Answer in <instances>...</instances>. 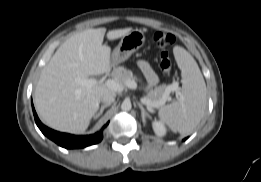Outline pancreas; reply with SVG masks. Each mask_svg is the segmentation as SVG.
I'll use <instances>...</instances> for the list:
<instances>
[{"label":"pancreas","instance_id":"cf45deb5","mask_svg":"<svg viewBox=\"0 0 261 182\" xmlns=\"http://www.w3.org/2000/svg\"><path fill=\"white\" fill-rule=\"evenodd\" d=\"M113 77L115 80L126 83L127 81H135L136 77L133 75V72L130 70H127L124 67H117L113 73ZM145 91H147V95L145 96L148 100L155 104H159L161 101L164 100V97L166 96L167 86L162 85L159 87H156L153 90H148V88H145Z\"/></svg>","mask_w":261,"mask_h":182}]
</instances>
